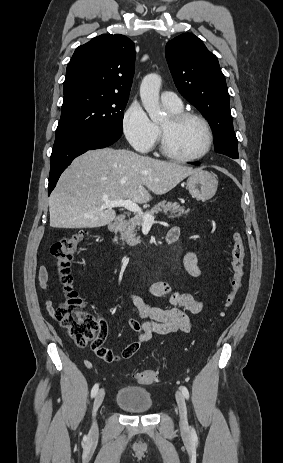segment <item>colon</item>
Masks as SVG:
<instances>
[{"mask_svg": "<svg viewBox=\"0 0 283 463\" xmlns=\"http://www.w3.org/2000/svg\"><path fill=\"white\" fill-rule=\"evenodd\" d=\"M83 239L84 233L79 231L62 237L52 245L51 252L63 297L61 303L54 310V316L77 345L90 344L99 358L113 362L118 357L103 345L106 324L96 313L86 308L83 299L72 285L71 262ZM244 258L243 239L241 234L236 231L233 234L231 290L224 303L223 315L232 308L237 293L242 287ZM134 377L137 382L145 385L160 381L158 373L154 370L140 371Z\"/></svg>", "mask_w": 283, "mask_h": 463, "instance_id": "1", "label": "colon"}]
</instances>
